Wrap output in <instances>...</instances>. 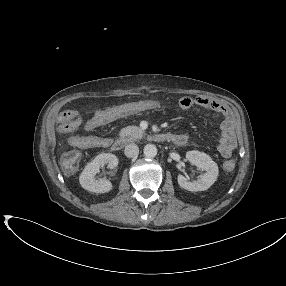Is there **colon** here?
<instances>
[{
	"instance_id": "obj_1",
	"label": "colon",
	"mask_w": 286,
	"mask_h": 286,
	"mask_svg": "<svg viewBox=\"0 0 286 286\" xmlns=\"http://www.w3.org/2000/svg\"><path fill=\"white\" fill-rule=\"evenodd\" d=\"M112 113H113V110H106L103 113V116L110 117ZM73 115L75 116L76 114L73 113ZM79 159H80V156L77 151H70L62 158V164L66 169H73L78 165ZM234 166H235V163L233 160H229L225 164V168L227 170H232Z\"/></svg>"
}]
</instances>
